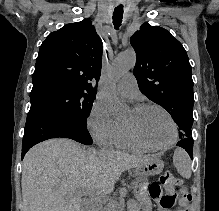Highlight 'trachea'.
Returning <instances> with one entry per match:
<instances>
[{"instance_id": "3493384b", "label": "trachea", "mask_w": 219, "mask_h": 211, "mask_svg": "<svg viewBox=\"0 0 219 211\" xmlns=\"http://www.w3.org/2000/svg\"><path fill=\"white\" fill-rule=\"evenodd\" d=\"M123 18V6L119 5L114 9L113 12V25L116 30H119V27L121 26Z\"/></svg>"}]
</instances>
